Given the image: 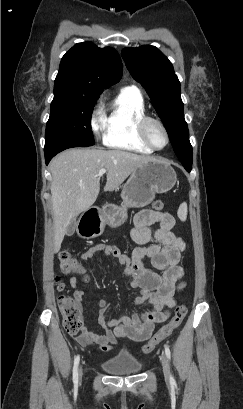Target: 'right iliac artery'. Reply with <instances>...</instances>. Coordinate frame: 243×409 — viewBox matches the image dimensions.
<instances>
[{
  "instance_id": "obj_1",
  "label": "right iliac artery",
  "mask_w": 243,
  "mask_h": 409,
  "mask_svg": "<svg viewBox=\"0 0 243 409\" xmlns=\"http://www.w3.org/2000/svg\"><path fill=\"white\" fill-rule=\"evenodd\" d=\"M80 361V356L77 355L74 359V366H73V382L74 384L78 383V365Z\"/></svg>"
}]
</instances>
